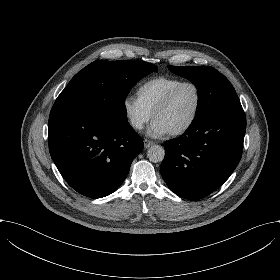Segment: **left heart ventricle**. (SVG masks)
Here are the masks:
<instances>
[{
    "label": "left heart ventricle",
    "instance_id": "left-heart-ventricle-1",
    "mask_svg": "<svg viewBox=\"0 0 280 280\" xmlns=\"http://www.w3.org/2000/svg\"><path fill=\"white\" fill-rule=\"evenodd\" d=\"M197 100L196 88L185 85L177 92L171 104L156 117L163 120L173 131L190 121L196 110Z\"/></svg>",
    "mask_w": 280,
    "mask_h": 280
}]
</instances>
